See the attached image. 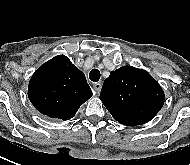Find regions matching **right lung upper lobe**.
Masks as SVG:
<instances>
[{
  "instance_id": "1",
  "label": "right lung upper lobe",
  "mask_w": 190,
  "mask_h": 165,
  "mask_svg": "<svg viewBox=\"0 0 190 165\" xmlns=\"http://www.w3.org/2000/svg\"><path fill=\"white\" fill-rule=\"evenodd\" d=\"M92 96L85 75L64 55L44 63L32 75L28 97L42 114L66 121Z\"/></svg>"
}]
</instances>
